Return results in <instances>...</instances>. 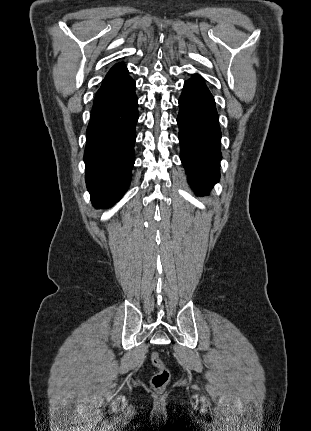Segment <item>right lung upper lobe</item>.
Returning a JSON list of instances; mask_svg holds the SVG:
<instances>
[{
	"mask_svg": "<svg viewBox=\"0 0 311 431\" xmlns=\"http://www.w3.org/2000/svg\"><path fill=\"white\" fill-rule=\"evenodd\" d=\"M124 69H126V67L122 63H118L111 68V70L108 72L107 75L114 74L116 72H120Z\"/></svg>",
	"mask_w": 311,
	"mask_h": 431,
	"instance_id": "cb5924a9",
	"label": "right lung upper lobe"
}]
</instances>
